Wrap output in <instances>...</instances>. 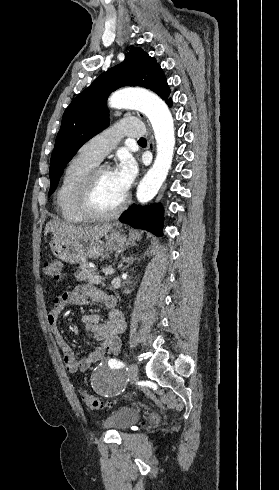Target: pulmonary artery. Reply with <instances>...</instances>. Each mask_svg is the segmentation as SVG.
<instances>
[{"label": "pulmonary artery", "instance_id": "e3ab8cb5", "mask_svg": "<svg viewBox=\"0 0 279 490\" xmlns=\"http://www.w3.org/2000/svg\"><path fill=\"white\" fill-rule=\"evenodd\" d=\"M146 125L139 117H123L122 122H111L105 133H98L89 138L80 148L79 154L94 164L102 159L117 144V138L123 134L132 136L133 140H142Z\"/></svg>", "mask_w": 279, "mask_h": 490}]
</instances>
